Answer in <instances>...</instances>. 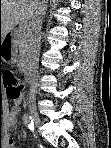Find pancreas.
<instances>
[{"label":"pancreas","instance_id":"pancreas-1","mask_svg":"<svg viewBox=\"0 0 111 148\" xmlns=\"http://www.w3.org/2000/svg\"><path fill=\"white\" fill-rule=\"evenodd\" d=\"M17 36V43L19 47V65L22 68H25L27 66V51L29 46V27L25 24L20 25L19 29L16 32Z\"/></svg>","mask_w":111,"mask_h":148}]
</instances>
